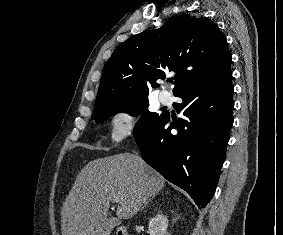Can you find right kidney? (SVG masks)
I'll return each instance as SVG.
<instances>
[{"label": "right kidney", "mask_w": 283, "mask_h": 235, "mask_svg": "<svg viewBox=\"0 0 283 235\" xmlns=\"http://www.w3.org/2000/svg\"><path fill=\"white\" fill-rule=\"evenodd\" d=\"M168 219L162 214L156 215L149 222L150 235H167Z\"/></svg>", "instance_id": "obj_1"}]
</instances>
